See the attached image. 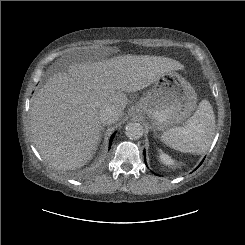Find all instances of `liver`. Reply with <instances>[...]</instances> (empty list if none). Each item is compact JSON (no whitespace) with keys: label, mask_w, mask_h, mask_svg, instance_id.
<instances>
[{"label":"liver","mask_w":245,"mask_h":245,"mask_svg":"<svg viewBox=\"0 0 245 245\" xmlns=\"http://www.w3.org/2000/svg\"><path fill=\"white\" fill-rule=\"evenodd\" d=\"M178 61L148 55H122L74 63L48 79L32 101L30 127L42 158L59 170H73L92 159L100 142L99 110L114 105L119 117L125 93L136 92L162 74L182 70Z\"/></svg>","instance_id":"obj_1"}]
</instances>
